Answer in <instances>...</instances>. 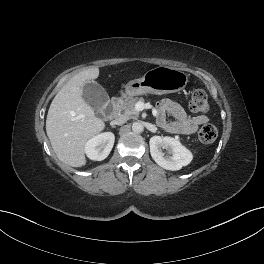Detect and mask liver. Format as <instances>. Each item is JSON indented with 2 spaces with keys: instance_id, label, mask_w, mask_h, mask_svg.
<instances>
[{
  "instance_id": "1",
  "label": "liver",
  "mask_w": 264,
  "mask_h": 264,
  "mask_svg": "<svg viewBox=\"0 0 264 264\" xmlns=\"http://www.w3.org/2000/svg\"><path fill=\"white\" fill-rule=\"evenodd\" d=\"M99 68L74 75L56 94L47 114L46 133L58 159L72 167L86 164L85 144L105 128L82 97L86 82L97 79Z\"/></svg>"
}]
</instances>
